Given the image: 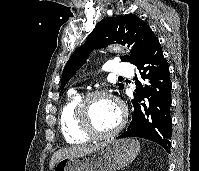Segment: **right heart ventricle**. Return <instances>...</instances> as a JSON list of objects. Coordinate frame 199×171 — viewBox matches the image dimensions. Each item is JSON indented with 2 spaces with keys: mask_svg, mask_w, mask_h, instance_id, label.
I'll use <instances>...</instances> for the list:
<instances>
[{
  "mask_svg": "<svg viewBox=\"0 0 199 171\" xmlns=\"http://www.w3.org/2000/svg\"><path fill=\"white\" fill-rule=\"evenodd\" d=\"M82 94L77 90H70L60 109L59 126L65 141L69 144L79 145L86 143L90 137L84 134L79 126L77 105Z\"/></svg>",
  "mask_w": 199,
  "mask_h": 171,
  "instance_id": "right-heart-ventricle-1",
  "label": "right heart ventricle"
}]
</instances>
